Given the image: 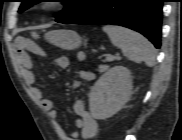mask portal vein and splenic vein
Masks as SVG:
<instances>
[{
	"instance_id": "18ae733b",
	"label": "portal vein and splenic vein",
	"mask_w": 182,
	"mask_h": 140,
	"mask_svg": "<svg viewBox=\"0 0 182 140\" xmlns=\"http://www.w3.org/2000/svg\"><path fill=\"white\" fill-rule=\"evenodd\" d=\"M114 59H115V56H113V55H108L106 57V61H113Z\"/></svg>"
}]
</instances>
